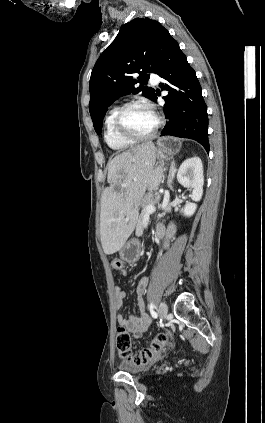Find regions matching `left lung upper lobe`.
Masks as SVG:
<instances>
[{
  "instance_id": "1",
  "label": "left lung upper lobe",
  "mask_w": 265,
  "mask_h": 423,
  "mask_svg": "<svg viewBox=\"0 0 265 423\" xmlns=\"http://www.w3.org/2000/svg\"><path fill=\"white\" fill-rule=\"evenodd\" d=\"M170 38L159 22L149 18H136L121 27L91 73L89 111L97 134L108 107L119 97L142 91L146 98L154 99V89L144 85L149 73L159 69ZM135 73L140 74L138 79L133 77Z\"/></svg>"
}]
</instances>
